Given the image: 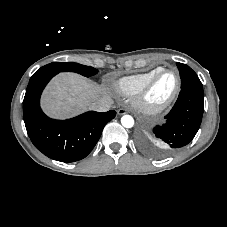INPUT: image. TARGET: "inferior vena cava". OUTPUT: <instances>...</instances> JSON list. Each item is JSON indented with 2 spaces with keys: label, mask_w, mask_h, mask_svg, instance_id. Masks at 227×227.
Listing matches in <instances>:
<instances>
[{
  "label": "inferior vena cava",
  "mask_w": 227,
  "mask_h": 227,
  "mask_svg": "<svg viewBox=\"0 0 227 227\" xmlns=\"http://www.w3.org/2000/svg\"><path fill=\"white\" fill-rule=\"evenodd\" d=\"M113 101L111 98L103 97L91 105V109L98 111V112H106L110 109L112 106Z\"/></svg>",
  "instance_id": "inferior-vena-cava-1"
}]
</instances>
